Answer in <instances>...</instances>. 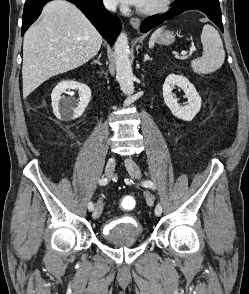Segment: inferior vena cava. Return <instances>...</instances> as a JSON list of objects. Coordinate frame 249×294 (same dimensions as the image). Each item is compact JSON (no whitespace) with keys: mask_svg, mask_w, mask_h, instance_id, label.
Segmentation results:
<instances>
[{"mask_svg":"<svg viewBox=\"0 0 249 294\" xmlns=\"http://www.w3.org/2000/svg\"><path fill=\"white\" fill-rule=\"evenodd\" d=\"M104 5L109 11H116V0H104Z\"/></svg>","mask_w":249,"mask_h":294,"instance_id":"obj_1","label":"inferior vena cava"}]
</instances>
